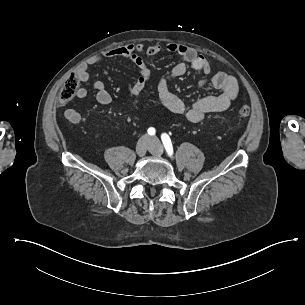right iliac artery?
Segmentation results:
<instances>
[{
  "instance_id": "right-iliac-artery-1",
  "label": "right iliac artery",
  "mask_w": 305,
  "mask_h": 305,
  "mask_svg": "<svg viewBox=\"0 0 305 305\" xmlns=\"http://www.w3.org/2000/svg\"><path fill=\"white\" fill-rule=\"evenodd\" d=\"M147 132L149 135H154L156 131H155V128L150 127Z\"/></svg>"
}]
</instances>
